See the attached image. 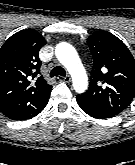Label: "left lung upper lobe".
I'll list each match as a JSON object with an SVG mask.
<instances>
[{"mask_svg":"<svg viewBox=\"0 0 135 165\" xmlns=\"http://www.w3.org/2000/svg\"><path fill=\"white\" fill-rule=\"evenodd\" d=\"M87 43L93 57L88 90L77 99L115 116L129 106L135 96V59L115 35L96 31Z\"/></svg>","mask_w":135,"mask_h":165,"instance_id":"obj_1","label":"left lung upper lobe"}]
</instances>
